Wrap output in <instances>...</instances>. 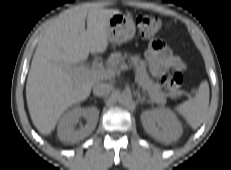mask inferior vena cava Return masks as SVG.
Wrapping results in <instances>:
<instances>
[{"mask_svg": "<svg viewBox=\"0 0 231 170\" xmlns=\"http://www.w3.org/2000/svg\"><path fill=\"white\" fill-rule=\"evenodd\" d=\"M112 90V85L107 83H96L93 86V93L95 96H105Z\"/></svg>", "mask_w": 231, "mask_h": 170, "instance_id": "inferior-vena-cava-1", "label": "inferior vena cava"}]
</instances>
